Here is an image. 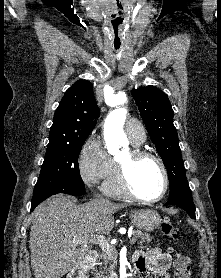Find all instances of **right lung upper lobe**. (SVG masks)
<instances>
[{"instance_id":"1","label":"right lung upper lobe","mask_w":221,"mask_h":278,"mask_svg":"<svg viewBox=\"0 0 221 278\" xmlns=\"http://www.w3.org/2000/svg\"><path fill=\"white\" fill-rule=\"evenodd\" d=\"M92 89L90 81L79 80L66 91L54 114L48 145L70 143L88 137L99 117Z\"/></svg>"}]
</instances>
